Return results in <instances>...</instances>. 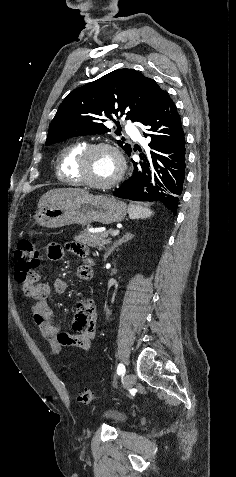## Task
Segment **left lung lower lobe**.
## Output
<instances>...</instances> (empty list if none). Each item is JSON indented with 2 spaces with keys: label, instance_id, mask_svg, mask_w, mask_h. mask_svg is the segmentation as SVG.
<instances>
[{
  "label": "left lung lower lobe",
  "instance_id": "left-lung-lower-lobe-1",
  "mask_svg": "<svg viewBox=\"0 0 236 477\" xmlns=\"http://www.w3.org/2000/svg\"><path fill=\"white\" fill-rule=\"evenodd\" d=\"M145 126L143 134L151 138L152 151L140 155L143 163L133 162L132 176L114 195L134 201H158L175 214L185 178V134L176 106L166 91L160 92L157 108Z\"/></svg>",
  "mask_w": 236,
  "mask_h": 477
}]
</instances>
